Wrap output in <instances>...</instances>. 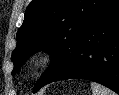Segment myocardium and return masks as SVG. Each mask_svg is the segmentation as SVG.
<instances>
[{"instance_id":"1","label":"myocardium","mask_w":119,"mask_h":95,"mask_svg":"<svg viewBox=\"0 0 119 95\" xmlns=\"http://www.w3.org/2000/svg\"><path fill=\"white\" fill-rule=\"evenodd\" d=\"M53 58L54 55L51 50H38L30 58V67L37 73H44L50 68Z\"/></svg>"}]
</instances>
